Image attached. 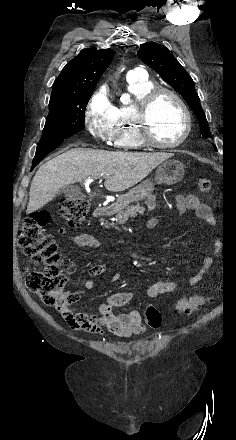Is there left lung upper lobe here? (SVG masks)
<instances>
[{"label": "left lung upper lobe", "mask_w": 236, "mask_h": 440, "mask_svg": "<svg viewBox=\"0 0 236 440\" xmlns=\"http://www.w3.org/2000/svg\"><path fill=\"white\" fill-rule=\"evenodd\" d=\"M138 56L182 95L197 115L203 137L209 138L210 130L195 90L194 81L169 50L155 42H149L140 45Z\"/></svg>", "instance_id": "left-lung-upper-lobe-1"}]
</instances>
